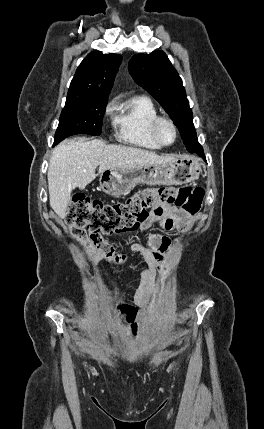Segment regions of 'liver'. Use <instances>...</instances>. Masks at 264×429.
<instances>
[{
	"label": "liver",
	"mask_w": 264,
	"mask_h": 429,
	"mask_svg": "<svg viewBox=\"0 0 264 429\" xmlns=\"http://www.w3.org/2000/svg\"><path fill=\"white\" fill-rule=\"evenodd\" d=\"M177 156H160L144 149L106 145L102 140H65L58 144L49 162L48 189L50 206L60 217L66 216L71 192L83 190L99 173L108 169H135L147 165H164Z\"/></svg>",
	"instance_id": "6515ba94"
}]
</instances>
